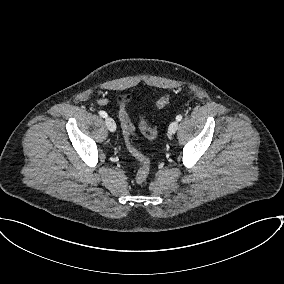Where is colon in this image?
<instances>
[{"instance_id": "colon-1", "label": "colon", "mask_w": 284, "mask_h": 284, "mask_svg": "<svg viewBox=\"0 0 284 284\" xmlns=\"http://www.w3.org/2000/svg\"><path fill=\"white\" fill-rule=\"evenodd\" d=\"M130 95H125L121 97L119 101V117L122 123L123 132L125 136V141L131 155L139 162L140 167L135 175V180L138 183L144 182L150 172V160L146 157L134 144L133 141V125L130 121L129 115L126 110V104L130 101ZM170 95L161 96L156 103L158 109H163L169 103ZM139 127L142 134L148 139H154L158 135V130L156 127H151L146 120L141 117L139 121Z\"/></svg>"}]
</instances>
